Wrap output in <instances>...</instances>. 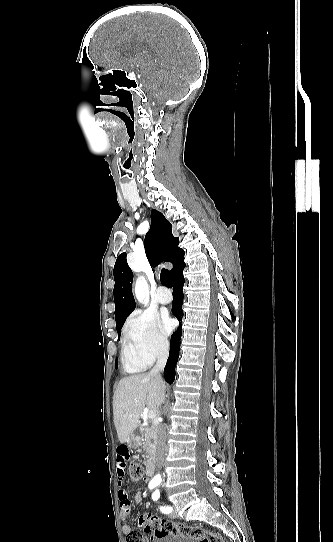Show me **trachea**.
I'll return each instance as SVG.
<instances>
[{
    "label": "trachea",
    "instance_id": "1",
    "mask_svg": "<svg viewBox=\"0 0 333 542\" xmlns=\"http://www.w3.org/2000/svg\"><path fill=\"white\" fill-rule=\"evenodd\" d=\"M160 280H161V283L163 285H165L166 287H171V275H170V272L169 270L163 268L161 273H160Z\"/></svg>",
    "mask_w": 333,
    "mask_h": 542
}]
</instances>
